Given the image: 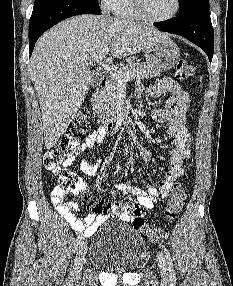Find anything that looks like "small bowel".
Masks as SVG:
<instances>
[{"instance_id":"obj_1","label":"small bowel","mask_w":233,"mask_h":286,"mask_svg":"<svg viewBox=\"0 0 233 286\" xmlns=\"http://www.w3.org/2000/svg\"><path fill=\"white\" fill-rule=\"evenodd\" d=\"M137 94H148L153 98H158L166 93L170 94L164 108L154 109L151 113L152 119L157 122L167 123V138L174 142V148L169 153V168L164 177L159 181L158 186L149 185L145 189L128 183H118L115 188L125 195L134 197V202H127L122 205L127 212L122 216L124 221H131L133 210L138 209L141 213L150 211L156 202L167 198L173 188L174 182L182 175V166L189 158L191 152V134L186 125V117L190 106L189 94L182 90L178 82L171 78H163L158 83L151 86L138 84ZM107 129L103 126L90 131L83 142L76 146L74 156L64 162L65 166L75 163L76 158L95 145L102 142L106 137ZM102 165V160L97 159L91 163L86 158L80 162L81 171L87 176H95ZM67 191L61 187H56L51 192L52 204L58 212L65 218L73 230L82 232L84 237L93 235L100 225L105 223L112 215L117 203H107L105 201H90L91 212L85 216L78 217L75 212L79 205L73 201H64ZM74 193V192H73ZM89 199L86 191L75 193Z\"/></svg>"}]
</instances>
